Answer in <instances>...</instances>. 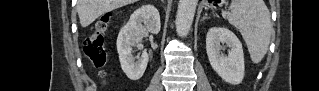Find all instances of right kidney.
Wrapping results in <instances>:
<instances>
[{"label":"right kidney","mask_w":319,"mask_h":91,"mask_svg":"<svg viewBox=\"0 0 319 91\" xmlns=\"http://www.w3.org/2000/svg\"><path fill=\"white\" fill-rule=\"evenodd\" d=\"M160 26L158 10L153 5H145L134 11L127 24L120 30L117 38V51L121 68L129 79H140L149 60L146 52H143L141 57L135 58L132 55L133 47L137 46L141 49L142 39L148 36L149 32L158 34Z\"/></svg>","instance_id":"1"}]
</instances>
